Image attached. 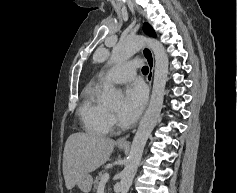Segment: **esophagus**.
<instances>
[{"instance_id":"obj_1","label":"esophagus","mask_w":237,"mask_h":193,"mask_svg":"<svg viewBox=\"0 0 237 193\" xmlns=\"http://www.w3.org/2000/svg\"><path fill=\"white\" fill-rule=\"evenodd\" d=\"M142 53L145 56L148 67H149V73H148V76H147V83H148L149 87L151 88V83H152V78H153V71H154V55H153L152 50L148 47H144L142 49ZM129 136L130 135L127 134L126 136H123V137L119 138L117 140V144L118 145H128L129 144V140H128Z\"/></svg>"}]
</instances>
